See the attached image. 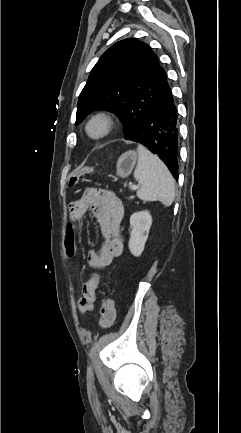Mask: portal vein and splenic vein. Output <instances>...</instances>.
Here are the masks:
<instances>
[{
  "mask_svg": "<svg viewBox=\"0 0 241 433\" xmlns=\"http://www.w3.org/2000/svg\"><path fill=\"white\" fill-rule=\"evenodd\" d=\"M130 187H131V189H133V190H136V189L139 188V186H138V185H135V184L131 185Z\"/></svg>",
  "mask_w": 241,
  "mask_h": 433,
  "instance_id": "portal-vein-and-splenic-vein-1",
  "label": "portal vein and splenic vein"
}]
</instances>
